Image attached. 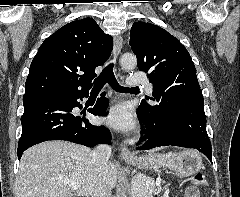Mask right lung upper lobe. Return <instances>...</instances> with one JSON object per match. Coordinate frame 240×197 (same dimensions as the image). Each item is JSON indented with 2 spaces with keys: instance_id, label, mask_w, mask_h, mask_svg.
<instances>
[{
  "instance_id": "cb5924a9",
  "label": "right lung upper lobe",
  "mask_w": 240,
  "mask_h": 197,
  "mask_svg": "<svg viewBox=\"0 0 240 197\" xmlns=\"http://www.w3.org/2000/svg\"><path fill=\"white\" fill-rule=\"evenodd\" d=\"M113 39L94 19L70 22L40 46L29 69L23 102L68 92H89L95 68L111 55Z\"/></svg>"
}]
</instances>
